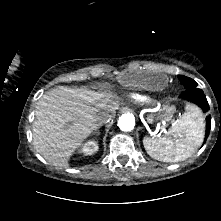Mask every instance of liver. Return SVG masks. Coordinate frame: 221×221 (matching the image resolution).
Instances as JSON below:
<instances>
[{
	"label": "liver",
	"mask_w": 221,
	"mask_h": 221,
	"mask_svg": "<svg viewBox=\"0 0 221 221\" xmlns=\"http://www.w3.org/2000/svg\"><path fill=\"white\" fill-rule=\"evenodd\" d=\"M119 109L112 92L59 86L47 91L37 102L33 122V145L48 162L69 166V159L99 125L102 113L115 116Z\"/></svg>",
	"instance_id": "obj_1"
}]
</instances>
